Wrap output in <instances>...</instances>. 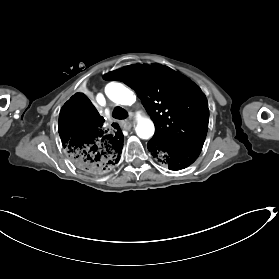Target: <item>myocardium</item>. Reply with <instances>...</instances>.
Listing matches in <instances>:
<instances>
[{"label":"myocardium","mask_w":279,"mask_h":279,"mask_svg":"<svg viewBox=\"0 0 279 279\" xmlns=\"http://www.w3.org/2000/svg\"><path fill=\"white\" fill-rule=\"evenodd\" d=\"M87 76H88V74H87ZM131 94H132V97L130 98L129 102H135L136 98H135L133 93H131ZM106 132H107V130L105 128H103V129L100 130L99 133H100V135H102V134H104Z\"/></svg>","instance_id":"1"}]
</instances>
